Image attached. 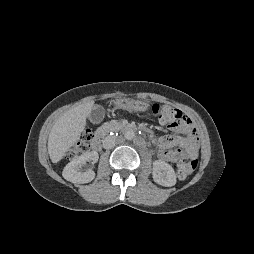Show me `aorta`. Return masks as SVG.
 Here are the masks:
<instances>
[{
  "label": "aorta",
  "instance_id": "762f6f07",
  "mask_svg": "<svg viewBox=\"0 0 254 254\" xmlns=\"http://www.w3.org/2000/svg\"><path fill=\"white\" fill-rule=\"evenodd\" d=\"M134 136H135V133H134V131H132V130H128V131H126L125 134H124V137H125V139H127V140L133 139Z\"/></svg>",
  "mask_w": 254,
  "mask_h": 254
}]
</instances>
